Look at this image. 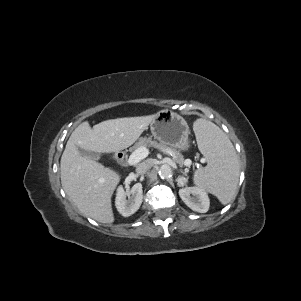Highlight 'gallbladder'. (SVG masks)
<instances>
[{"mask_svg": "<svg viewBox=\"0 0 301 301\" xmlns=\"http://www.w3.org/2000/svg\"><path fill=\"white\" fill-rule=\"evenodd\" d=\"M78 151L82 156H87V157H90L94 160H99V158H100L98 154H96L94 152H91V151H88V150H84V149L79 148V147H78Z\"/></svg>", "mask_w": 301, "mask_h": 301, "instance_id": "1", "label": "gallbladder"}]
</instances>
